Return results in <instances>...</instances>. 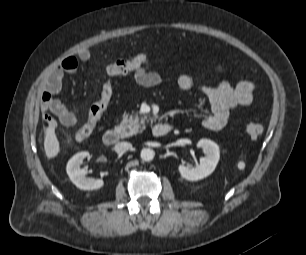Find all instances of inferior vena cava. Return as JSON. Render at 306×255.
Returning <instances> with one entry per match:
<instances>
[{
  "label": "inferior vena cava",
  "mask_w": 306,
  "mask_h": 255,
  "mask_svg": "<svg viewBox=\"0 0 306 255\" xmlns=\"http://www.w3.org/2000/svg\"><path fill=\"white\" fill-rule=\"evenodd\" d=\"M132 148V144L128 143V142H120L117 143L114 147V150L118 153V154H123L126 151L130 150Z\"/></svg>",
  "instance_id": "obj_1"
}]
</instances>
